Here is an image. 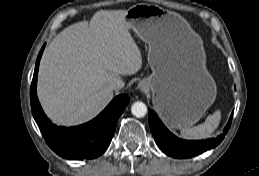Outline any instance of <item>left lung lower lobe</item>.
I'll list each match as a JSON object with an SVG mask.
<instances>
[{
  "label": "left lung lower lobe",
  "mask_w": 259,
  "mask_h": 176,
  "mask_svg": "<svg viewBox=\"0 0 259 176\" xmlns=\"http://www.w3.org/2000/svg\"><path fill=\"white\" fill-rule=\"evenodd\" d=\"M232 116L224 129L226 134L231 125ZM149 126L159 148L167 155L174 158H190L216 147L224 138L189 141L174 136L161 122L153 110H149Z\"/></svg>",
  "instance_id": "0a47b994"
}]
</instances>
